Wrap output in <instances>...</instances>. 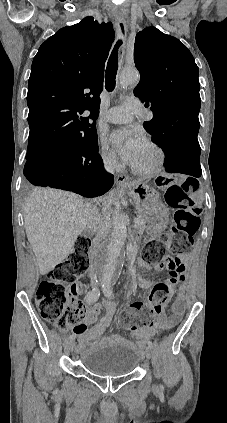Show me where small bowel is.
<instances>
[{"instance_id":"small-bowel-1","label":"small bowel","mask_w":227,"mask_h":423,"mask_svg":"<svg viewBox=\"0 0 227 423\" xmlns=\"http://www.w3.org/2000/svg\"><path fill=\"white\" fill-rule=\"evenodd\" d=\"M180 262L185 270L184 264L181 260ZM138 264L143 270H151L153 267L143 259H139ZM141 283L144 287H149L152 284V281L148 278L142 277ZM81 291L82 287L78 285V294L81 293ZM183 291V288H180L177 298L171 305L170 316H167L164 312H162L157 315L155 320L149 326L137 329L133 332V335L139 340L140 346L145 345L147 339L155 333L170 330L178 324L184 309ZM101 306L105 308L106 312L100 320L96 322ZM117 308V303L113 301H104L101 304H95L89 308H84V319L80 323L76 324L73 329L75 336H78L79 350L84 351L88 349L100 339L103 332L110 326ZM114 341L115 339L111 337L104 338L102 340L104 344L112 343Z\"/></svg>"}]
</instances>
